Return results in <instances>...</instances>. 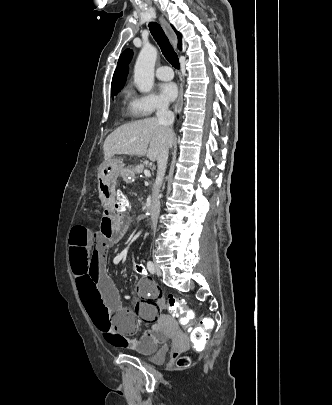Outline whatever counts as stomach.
Segmentation results:
<instances>
[{"label":"stomach","mask_w":332,"mask_h":405,"mask_svg":"<svg viewBox=\"0 0 332 405\" xmlns=\"http://www.w3.org/2000/svg\"><path fill=\"white\" fill-rule=\"evenodd\" d=\"M117 160V164L119 166V170L124 169V164L122 163V159H116Z\"/></svg>","instance_id":"obj_1"}]
</instances>
